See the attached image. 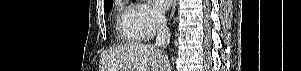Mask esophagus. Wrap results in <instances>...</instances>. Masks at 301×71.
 I'll return each mask as SVG.
<instances>
[{
	"mask_svg": "<svg viewBox=\"0 0 301 71\" xmlns=\"http://www.w3.org/2000/svg\"><path fill=\"white\" fill-rule=\"evenodd\" d=\"M176 6H177V0H174L173 1V6H172V10L170 12V17L173 18L174 17V14H175V11H176Z\"/></svg>",
	"mask_w": 301,
	"mask_h": 71,
	"instance_id": "34e87169",
	"label": "esophagus"
}]
</instances>
